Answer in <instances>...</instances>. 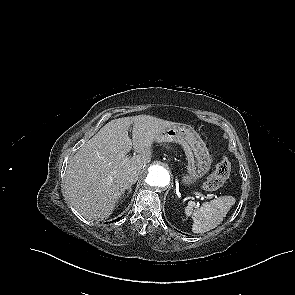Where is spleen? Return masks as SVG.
Returning a JSON list of instances; mask_svg holds the SVG:
<instances>
[{
	"mask_svg": "<svg viewBox=\"0 0 295 295\" xmlns=\"http://www.w3.org/2000/svg\"><path fill=\"white\" fill-rule=\"evenodd\" d=\"M235 201L233 196H221L210 202H204L200 207L195 202H190L185 207L184 213L193 220V233H205L217 227Z\"/></svg>",
	"mask_w": 295,
	"mask_h": 295,
	"instance_id": "spleen-1",
	"label": "spleen"
}]
</instances>
